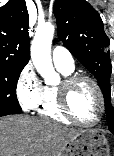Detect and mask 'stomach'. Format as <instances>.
<instances>
[{
  "mask_svg": "<svg viewBox=\"0 0 114 156\" xmlns=\"http://www.w3.org/2000/svg\"><path fill=\"white\" fill-rule=\"evenodd\" d=\"M58 156H110V148L100 131L81 130L66 143Z\"/></svg>",
  "mask_w": 114,
  "mask_h": 156,
  "instance_id": "obj_1",
  "label": "stomach"
}]
</instances>
